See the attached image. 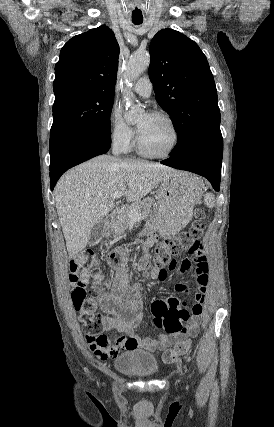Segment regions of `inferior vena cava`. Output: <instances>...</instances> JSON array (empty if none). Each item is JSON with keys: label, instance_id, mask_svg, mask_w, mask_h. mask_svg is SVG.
I'll use <instances>...</instances> for the list:
<instances>
[{"label": "inferior vena cava", "instance_id": "obj_1", "mask_svg": "<svg viewBox=\"0 0 274 427\" xmlns=\"http://www.w3.org/2000/svg\"><path fill=\"white\" fill-rule=\"evenodd\" d=\"M120 150H121L120 142H117L116 146H114L112 150L113 156H118V154H120Z\"/></svg>", "mask_w": 274, "mask_h": 427}]
</instances>
